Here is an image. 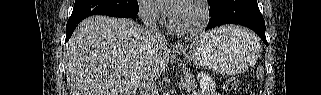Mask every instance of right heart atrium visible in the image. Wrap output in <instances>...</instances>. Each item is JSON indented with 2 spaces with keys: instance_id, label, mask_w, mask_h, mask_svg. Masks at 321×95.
<instances>
[{
  "instance_id": "right-heart-atrium-1",
  "label": "right heart atrium",
  "mask_w": 321,
  "mask_h": 95,
  "mask_svg": "<svg viewBox=\"0 0 321 95\" xmlns=\"http://www.w3.org/2000/svg\"><path fill=\"white\" fill-rule=\"evenodd\" d=\"M139 14L144 22L156 23L159 20V10L151 0L139 1Z\"/></svg>"
}]
</instances>
